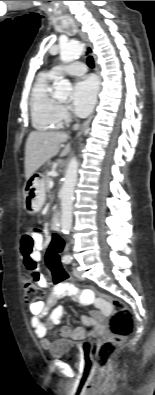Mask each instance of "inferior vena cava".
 <instances>
[{
	"label": "inferior vena cava",
	"instance_id": "1",
	"mask_svg": "<svg viewBox=\"0 0 155 395\" xmlns=\"http://www.w3.org/2000/svg\"><path fill=\"white\" fill-rule=\"evenodd\" d=\"M78 127H79V124H75V125H74V130H77Z\"/></svg>",
	"mask_w": 155,
	"mask_h": 395
}]
</instances>
